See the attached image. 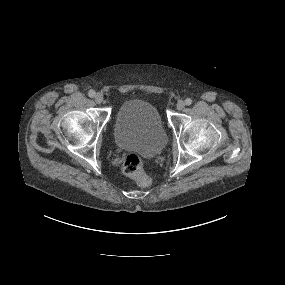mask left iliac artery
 <instances>
[{
    "label": "left iliac artery",
    "instance_id": "left-iliac-artery-1",
    "mask_svg": "<svg viewBox=\"0 0 285 285\" xmlns=\"http://www.w3.org/2000/svg\"><path fill=\"white\" fill-rule=\"evenodd\" d=\"M185 104L186 105H191L192 104V99H190V98H187L186 100H185Z\"/></svg>",
    "mask_w": 285,
    "mask_h": 285
}]
</instances>
